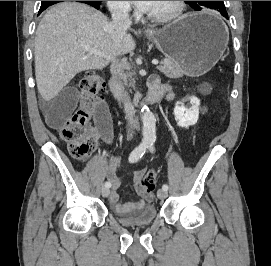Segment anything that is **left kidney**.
<instances>
[{"instance_id":"left-kidney-1","label":"left kidney","mask_w":271,"mask_h":266,"mask_svg":"<svg viewBox=\"0 0 271 266\" xmlns=\"http://www.w3.org/2000/svg\"><path fill=\"white\" fill-rule=\"evenodd\" d=\"M189 100V107H185L183 103H177L174 107V116L179 127L189 128L198 121L200 100L195 96H191Z\"/></svg>"}]
</instances>
